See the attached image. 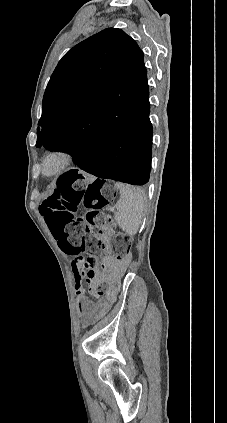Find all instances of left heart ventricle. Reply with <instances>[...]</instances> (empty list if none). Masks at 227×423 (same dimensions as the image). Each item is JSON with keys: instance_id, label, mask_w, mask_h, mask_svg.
I'll use <instances>...</instances> for the list:
<instances>
[{"instance_id": "obj_1", "label": "left heart ventricle", "mask_w": 227, "mask_h": 423, "mask_svg": "<svg viewBox=\"0 0 227 423\" xmlns=\"http://www.w3.org/2000/svg\"><path fill=\"white\" fill-rule=\"evenodd\" d=\"M54 167H55V163H54V162H52V163H50V164H49L48 169H49V170H53V169H54Z\"/></svg>"}]
</instances>
